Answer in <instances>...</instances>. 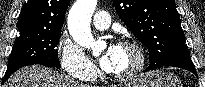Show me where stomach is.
Wrapping results in <instances>:
<instances>
[{
    "instance_id": "stomach-1",
    "label": "stomach",
    "mask_w": 205,
    "mask_h": 87,
    "mask_svg": "<svg viewBox=\"0 0 205 87\" xmlns=\"http://www.w3.org/2000/svg\"><path fill=\"white\" fill-rule=\"evenodd\" d=\"M126 87H181L177 76L165 71H152L141 74Z\"/></svg>"
}]
</instances>
